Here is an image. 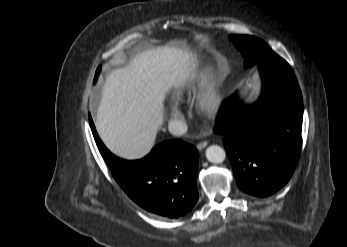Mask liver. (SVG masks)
Wrapping results in <instances>:
<instances>
[{
    "mask_svg": "<svg viewBox=\"0 0 347 247\" xmlns=\"http://www.w3.org/2000/svg\"><path fill=\"white\" fill-rule=\"evenodd\" d=\"M192 52L159 46L134 56L106 77L95 127L116 156L138 160L149 154L164 120V100L172 88L196 79Z\"/></svg>",
    "mask_w": 347,
    "mask_h": 247,
    "instance_id": "6515ba94",
    "label": "liver"
}]
</instances>
